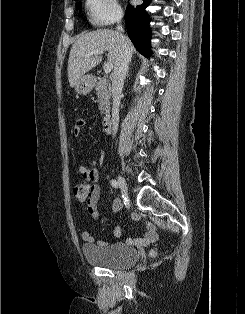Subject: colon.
Listing matches in <instances>:
<instances>
[{"instance_id": "1", "label": "colon", "mask_w": 245, "mask_h": 314, "mask_svg": "<svg viewBox=\"0 0 245 314\" xmlns=\"http://www.w3.org/2000/svg\"><path fill=\"white\" fill-rule=\"evenodd\" d=\"M73 193L80 203H87L91 198V186L87 182H79L74 185Z\"/></svg>"}]
</instances>
